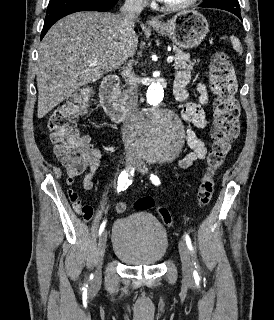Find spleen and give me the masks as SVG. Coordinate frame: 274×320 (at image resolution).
Returning a JSON list of instances; mask_svg holds the SVG:
<instances>
[{
	"instance_id": "spleen-1",
	"label": "spleen",
	"mask_w": 274,
	"mask_h": 320,
	"mask_svg": "<svg viewBox=\"0 0 274 320\" xmlns=\"http://www.w3.org/2000/svg\"><path fill=\"white\" fill-rule=\"evenodd\" d=\"M231 44L233 46V50H236V52H239V54H242V46L238 40V38H235V36H230Z\"/></svg>"
}]
</instances>
